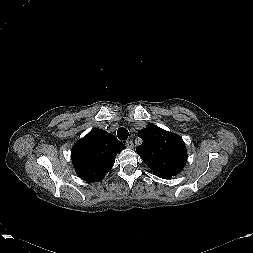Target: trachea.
I'll use <instances>...</instances> for the list:
<instances>
[{
  "instance_id": "1",
  "label": "trachea",
  "mask_w": 253,
  "mask_h": 253,
  "mask_svg": "<svg viewBox=\"0 0 253 253\" xmlns=\"http://www.w3.org/2000/svg\"><path fill=\"white\" fill-rule=\"evenodd\" d=\"M117 136L120 140H126L129 136L128 130L126 128H119L117 131Z\"/></svg>"
}]
</instances>
